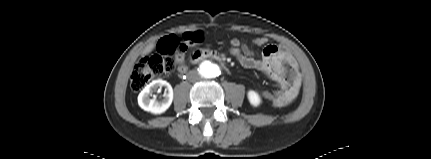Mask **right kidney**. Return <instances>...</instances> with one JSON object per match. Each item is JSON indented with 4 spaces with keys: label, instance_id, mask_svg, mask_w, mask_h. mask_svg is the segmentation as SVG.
Masks as SVG:
<instances>
[{
    "label": "right kidney",
    "instance_id": "obj_1",
    "mask_svg": "<svg viewBox=\"0 0 431 159\" xmlns=\"http://www.w3.org/2000/svg\"><path fill=\"white\" fill-rule=\"evenodd\" d=\"M162 87H165V92L163 99L158 100L156 97L150 98L153 92L160 91ZM173 101V89L171 85L162 80H154L149 85H147L138 95L139 106L148 112L153 114L164 113L172 104Z\"/></svg>",
    "mask_w": 431,
    "mask_h": 159
}]
</instances>
